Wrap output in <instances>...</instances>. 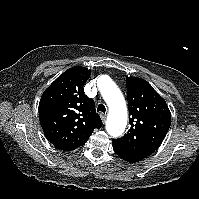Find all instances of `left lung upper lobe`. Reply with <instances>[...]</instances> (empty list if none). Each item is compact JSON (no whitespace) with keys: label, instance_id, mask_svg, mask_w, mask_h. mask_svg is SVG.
Returning <instances> with one entry per match:
<instances>
[{"label":"left lung upper lobe","instance_id":"5c2ea615","mask_svg":"<svg viewBox=\"0 0 199 199\" xmlns=\"http://www.w3.org/2000/svg\"><path fill=\"white\" fill-rule=\"evenodd\" d=\"M126 85L130 128L123 137L113 141L147 157L166 136L171 113L165 100L146 80L128 77Z\"/></svg>","mask_w":199,"mask_h":199}]
</instances>
